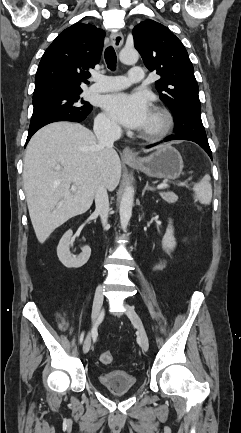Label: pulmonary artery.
I'll return each mask as SVG.
<instances>
[{"label": "pulmonary artery", "instance_id": "obj_1", "mask_svg": "<svg viewBox=\"0 0 241 433\" xmlns=\"http://www.w3.org/2000/svg\"><path fill=\"white\" fill-rule=\"evenodd\" d=\"M144 71L141 66H133L128 77L121 75H99L95 77V83L90 87V91L94 93L114 91L128 87L130 84H139L144 81Z\"/></svg>", "mask_w": 241, "mask_h": 433}]
</instances>
